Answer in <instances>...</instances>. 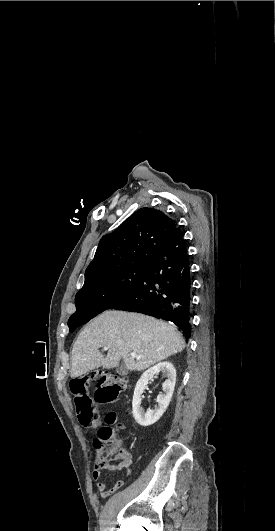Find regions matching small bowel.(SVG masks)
Segmentation results:
<instances>
[{"label":"small bowel","instance_id":"c3829d8e","mask_svg":"<svg viewBox=\"0 0 275 531\" xmlns=\"http://www.w3.org/2000/svg\"><path fill=\"white\" fill-rule=\"evenodd\" d=\"M101 444L100 440H95L93 445L96 448H99ZM119 458L121 459H132V456L127 451H121L119 454ZM110 470H118V469H110ZM103 471H95L93 474L94 479H98L102 475ZM97 489L99 492V496L101 499H106L113 495L118 489L120 488H113L111 485H109L107 482H99L97 484Z\"/></svg>","mask_w":275,"mask_h":531}]
</instances>
